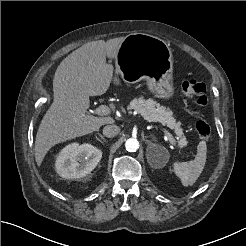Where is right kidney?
I'll list each match as a JSON object with an SVG mask.
<instances>
[{
  "label": "right kidney",
  "instance_id": "obj_1",
  "mask_svg": "<svg viewBox=\"0 0 246 246\" xmlns=\"http://www.w3.org/2000/svg\"><path fill=\"white\" fill-rule=\"evenodd\" d=\"M102 158V152L91 144L71 143L57 156L55 168L66 179L82 178L89 174Z\"/></svg>",
  "mask_w": 246,
  "mask_h": 246
}]
</instances>
